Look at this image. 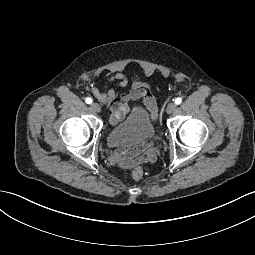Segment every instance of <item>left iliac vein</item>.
Here are the masks:
<instances>
[{
	"mask_svg": "<svg viewBox=\"0 0 255 255\" xmlns=\"http://www.w3.org/2000/svg\"><path fill=\"white\" fill-rule=\"evenodd\" d=\"M176 104L175 103H169L168 104V106H167V108H166V112L168 113V114H171V113H173L175 110H176Z\"/></svg>",
	"mask_w": 255,
	"mask_h": 255,
	"instance_id": "obj_1",
	"label": "left iliac vein"
}]
</instances>
